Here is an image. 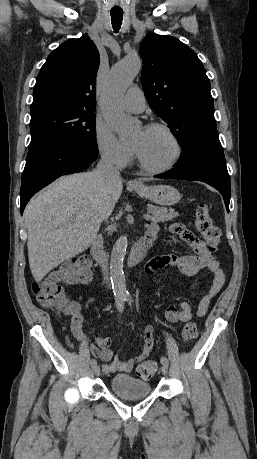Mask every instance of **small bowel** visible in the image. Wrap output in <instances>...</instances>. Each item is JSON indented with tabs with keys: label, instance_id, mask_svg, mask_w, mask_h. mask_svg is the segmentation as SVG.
I'll list each match as a JSON object with an SVG mask.
<instances>
[{
	"label": "small bowel",
	"instance_id": "small-bowel-1",
	"mask_svg": "<svg viewBox=\"0 0 257 459\" xmlns=\"http://www.w3.org/2000/svg\"><path fill=\"white\" fill-rule=\"evenodd\" d=\"M159 231L156 223L149 225L148 230ZM170 232L181 239L191 250L192 254L187 255H163L151 259L146 265V272L154 274L165 267H174L186 277L197 275L203 270H209L213 275V282L207 293L202 297L196 310L197 316H204L208 310L211 300L222 289L225 283V275L219 262L215 259L210 249L200 240L190 229L180 223H173L170 226ZM72 283V281H69ZM90 298L83 309L86 310L93 302ZM76 314L71 319V333L79 341H85L83 333L84 317L82 307L79 303L74 302ZM193 316V307L189 302L183 301L179 304H171L165 310V317L170 323H186ZM96 344H91L90 351L93 356L104 362L102 370L105 374L114 372H131L134 365L146 359L153 350L154 346V327L147 326L144 330V344L141 352L134 358L122 361L119 355H114L110 346L111 339L108 337H96ZM69 345L73 343L69 341Z\"/></svg>",
	"mask_w": 257,
	"mask_h": 459
}]
</instances>
